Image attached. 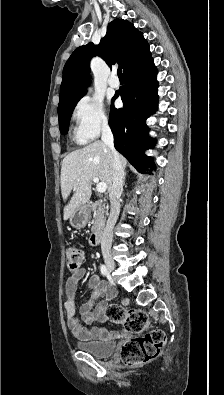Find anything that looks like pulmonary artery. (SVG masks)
<instances>
[{
	"mask_svg": "<svg viewBox=\"0 0 224 395\" xmlns=\"http://www.w3.org/2000/svg\"><path fill=\"white\" fill-rule=\"evenodd\" d=\"M108 85H109L111 88H117V87L119 86V80H118V78L116 77L115 74H113V75L108 79Z\"/></svg>",
	"mask_w": 224,
	"mask_h": 395,
	"instance_id": "obj_1",
	"label": "pulmonary artery"
}]
</instances>
